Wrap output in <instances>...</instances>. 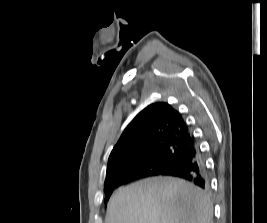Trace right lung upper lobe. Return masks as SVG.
I'll return each mask as SVG.
<instances>
[{
    "mask_svg": "<svg viewBox=\"0 0 267 223\" xmlns=\"http://www.w3.org/2000/svg\"><path fill=\"white\" fill-rule=\"evenodd\" d=\"M195 142L181 114L168 103L143 109L126 127L108 161L106 180L128 172V165L151 156L156 149L176 145L186 150Z\"/></svg>",
    "mask_w": 267,
    "mask_h": 223,
    "instance_id": "right-lung-upper-lobe-1",
    "label": "right lung upper lobe"
}]
</instances>
